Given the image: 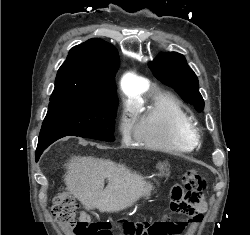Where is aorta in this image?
Masks as SVG:
<instances>
[{"label":"aorta","instance_id":"1","mask_svg":"<svg viewBox=\"0 0 250 235\" xmlns=\"http://www.w3.org/2000/svg\"><path fill=\"white\" fill-rule=\"evenodd\" d=\"M142 91H143V89H140V90L130 89V88L126 89V93L129 95H132V96L137 95V94L141 93Z\"/></svg>","mask_w":250,"mask_h":235}]
</instances>
